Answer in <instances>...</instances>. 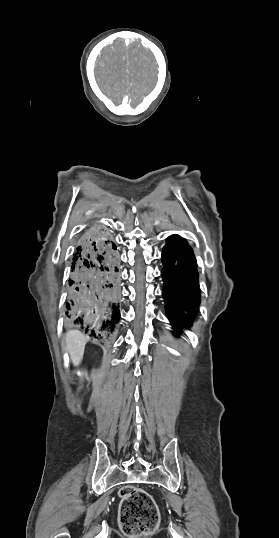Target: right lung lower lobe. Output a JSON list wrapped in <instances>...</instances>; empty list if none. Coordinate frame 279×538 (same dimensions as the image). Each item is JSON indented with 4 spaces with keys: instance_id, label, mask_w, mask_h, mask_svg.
Returning a JSON list of instances; mask_svg holds the SVG:
<instances>
[{
    "instance_id": "obj_1",
    "label": "right lung lower lobe",
    "mask_w": 279,
    "mask_h": 538,
    "mask_svg": "<svg viewBox=\"0 0 279 538\" xmlns=\"http://www.w3.org/2000/svg\"><path fill=\"white\" fill-rule=\"evenodd\" d=\"M65 325L90 336L113 331L120 319L119 256L112 234L92 225L77 241Z\"/></svg>"
}]
</instances>
